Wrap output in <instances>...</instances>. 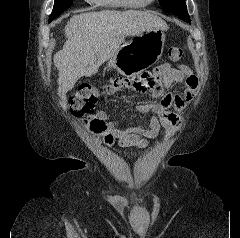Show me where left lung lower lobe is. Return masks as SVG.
<instances>
[{
	"label": "left lung lower lobe",
	"mask_w": 240,
	"mask_h": 238,
	"mask_svg": "<svg viewBox=\"0 0 240 238\" xmlns=\"http://www.w3.org/2000/svg\"><path fill=\"white\" fill-rule=\"evenodd\" d=\"M185 22H189L190 23V21H187V20H184Z\"/></svg>",
	"instance_id": "obj_1"
}]
</instances>
